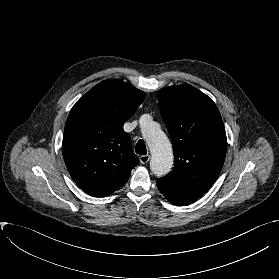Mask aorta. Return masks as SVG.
Masks as SVG:
<instances>
[{
	"instance_id": "1",
	"label": "aorta",
	"mask_w": 279,
	"mask_h": 279,
	"mask_svg": "<svg viewBox=\"0 0 279 279\" xmlns=\"http://www.w3.org/2000/svg\"><path fill=\"white\" fill-rule=\"evenodd\" d=\"M141 132L150 151L151 171L157 176H164L173 166V150L171 143L161 128L149 116L140 118Z\"/></svg>"
}]
</instances>
